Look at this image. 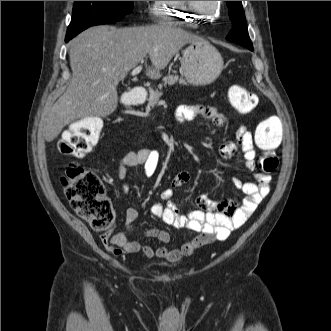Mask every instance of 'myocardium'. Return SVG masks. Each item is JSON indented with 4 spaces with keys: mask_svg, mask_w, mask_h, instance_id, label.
Returning <instances> with one entry per match:
<instances>
[{
    "mask_svg": "<svg viewBox=\"0 0 331 331\" xmlns=\"http://www.w3.org/2000/svg\"><path fill=\"white\" fill-rule=\"evenodd\" d=\"M188 5V7L198 13V14H203L205 12H208L209 14L213 15L217 9L219 8V1H213V5L211 8H205L202 5L199 4L198 1H184Z\"/></svg>",
    "mask_w": 331,
    "mask_h": 331,
    "instance_id": "obj_1",
    "label": "myocardium"
}]
</instances>
